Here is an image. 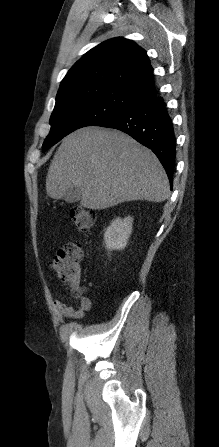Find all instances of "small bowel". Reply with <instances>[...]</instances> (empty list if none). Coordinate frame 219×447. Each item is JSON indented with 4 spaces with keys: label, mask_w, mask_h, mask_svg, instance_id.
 <instances>
[{
    "label": "small bowel",
    "mask_w": 219,
    "mask_h": 447,
    "mask_svg": "<svg viewBox=\"0 0 219 447\" xmlns=\"http://www.w3.org/2000/svg\"><path fill=\"white\" fill-rule=\"evenodd\" d=\"M79 301L78 306L74 307L71 305L65 304L61 300H54V305L59 313L68 319H80L85 313L90 309L91 300L86 296H76Z\"/></svg>",
    "instance_id": "small-bowel-1"
}]
</instances>
